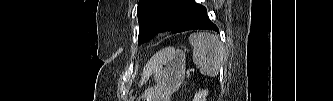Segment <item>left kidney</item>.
I'll list each match as a JSON object with an SVG mask.
<instances>
[{"instance_id": "obj_1", "label": "left kidney", "mask_w": 333, "mask_h": 101, "mask_svg": "<svg viewBox=\"0 0 333 101\" xmlns=\"http://www.w3.org/2000/svg\"><path fill=\"white\" fill-rule=\"evenodd\" d=\"M208 95V90H202L194 95L193 101H206V96Z\"/></svg>"}]
</instances>
